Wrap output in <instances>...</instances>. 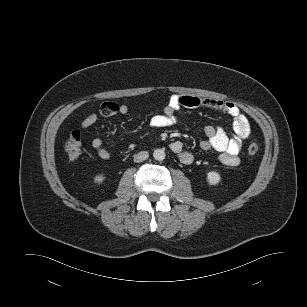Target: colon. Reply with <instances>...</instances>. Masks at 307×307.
Instances as JSON below:
<instances>
[{"label":"colon","mask_w":307,"mask_h":307,"mask_svg":"<svg viewBox=\"0 0 307 307\" xmlns=\"http://www.w3.org/2000/svg\"><path fill=\"white\" fill-rule=\"evenodd\" d=\"M259 151L257 143H250L247 147L249 155H255ZM65 152L71 160H76L81 154V135L79 131H73L65 143Z\"/></svg>","instance_id":"colon-1"}]
</instances>
